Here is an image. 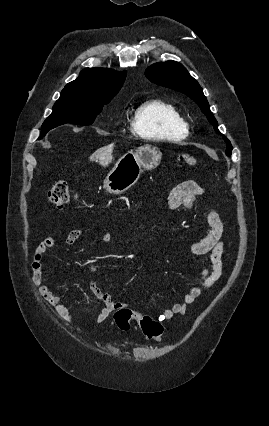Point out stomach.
<instances>
[{
    "mask_svg": "<svg viewBox=\"0 0 269 426\" xmlns=\"http://www.w3.org/2000/svg\"><path fill=\"white\" fill-rule=\"evenodd\" d=\"M161 156V151L151 145L126 153L108 173L104 188L110 194L127 191L138 181L143 170H152L159 165Z\"/></svg>",
    "mask_w": 269,
    "mask_h": 426,
    "instance_id": "stomach-1",
    "label": "stomach"
}]
</instances>
